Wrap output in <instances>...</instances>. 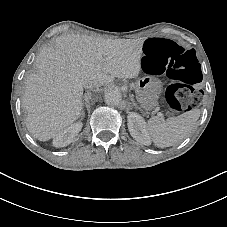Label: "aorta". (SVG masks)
Instances as JSON below:
<instances>
[{"mask_svg": "<svg viewBox=\"0 0 227 227\" xmlns=\"http://www.w3.org/2000/svg\"><path fill=\"white\" fill-rule=\"evenodd\" d=\"M122 95L119 91L111 90L104 96V101L108 106H114L120 104Z\"/></svg>", "mask_w": 227, "mask_h": 227, "instance_id": "762f6f07", "label": "aorta"}]
</instances>
